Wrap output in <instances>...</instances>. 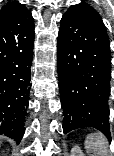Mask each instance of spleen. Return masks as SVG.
<instances>
[{"instance_id":"3e777b00","label":"spleen","mask_w":114,"mask_h":156,"mask_svg":"<svg viewBox=\"0 0 114 156\" xmlns=\"http://www.w3.org/2000/svg\"><path fill=\"white\" fill-rule=\"evenodd\" d=\"M84 145L88 156H109L108 141L102 133L89 134Z\"/></svg>"}]
</instances>
